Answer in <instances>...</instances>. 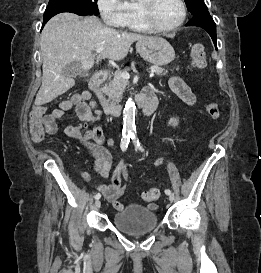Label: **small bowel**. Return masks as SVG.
I'll use <instances>...</instances> for the list:
<instances>
[{
    "label": "small bowel",
    "mask_w": 261,
    "mask_h": 273,
    "mask_svg": "<svg viewBox=\"0 0 261 273\" xmlns=\"http://www.w3.org/2000/svg\"><path fill=\"white\" fill-rule=\"evenodd\" d=\"M169 86L186 106L193 107L196 104V95L182 78L176 76L170 78ZM156 100L158 103L157 98ZM72 106H75L80 123L66 126L64 133L66 136L77 139L85 145L88 155L93 158L94 172L99 177L106 178L111 167V157L103 144L106 143L112 148L116 147L114 140L108 137L101 127L91 125L99 119L100 112L96 108V103L91 100L89 92L75 94L70 100L63 102L60 108L54 109L47 114L44 121L46 131L50 134L56 133L58 129L57 120L63 116L64 110L70 109ZM179 121V117H172L168 121V126L176 128ZM128 165V161L122 158L113 171L111 183L96 186V189L104 195L117 211L124 207L120 202V198L126 189V185L122 184V178L125 180L129 178ZM149 207L155 209L156 205L152 204Z\"/></svg>",
    "instance_id": "1"
}]
</instances>
